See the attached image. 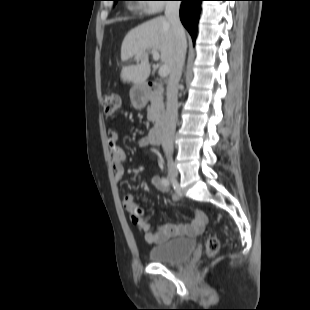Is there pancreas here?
Here are the masks:
<instances>
[{
    "label": "pancreas",
    "instance_id": "pancreas-1",
    "mask_svg": "<svg viewBox=\"0 0 310 310\" xmlns=\"http://www.w3.org/2000/svg\"><path fill=\"white\" fill-rule=\"evenodd\" d=\"M150 102L151 105L147 109V119L153 123H158L164 116L163 98L153 95Z\"/></svg>",
    "mask_w": 310,
    "mask_h": 310
}]
</instances>
